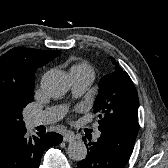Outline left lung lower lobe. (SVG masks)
<instances>
[{"label":"left lung lower lobe","instance_id":"obj_1","mask_svg":"<svg viewBox=\"0 0 168 168\" xmlns=\"http://www.w3.org/2000/svg\"><path fill=\"white\" fill-rule=\"evenodd\" d=\"M100 131L98 141L89 142L87 156L78 162L77 167L124 168L133 151L136 136L115 128H104Z\"/></svg>","mask_w":168,"mask_h":168}]
</instances>
